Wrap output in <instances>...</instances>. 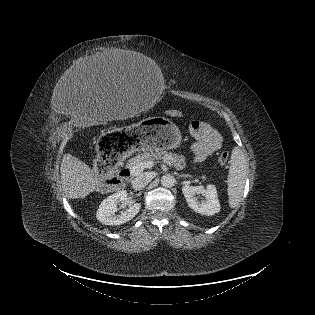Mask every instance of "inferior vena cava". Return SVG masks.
<instances>
[{
  "label": "inferior vena cava",
  "mask_w": 315,
  "mask_h": 315,
  "mask_svg": "<svg viewBox=\"0 0 315 315\" xmlns=\"http://www.w3.org/2000/svg\"><path fill=\"white\" fill-rule=\"evenodd\" d=\"M151 180L152 175L148 172H144L133 179L132 187L134 190H142Z\"/></svg>",
  "instance_id": "1"
}]
</instances>
